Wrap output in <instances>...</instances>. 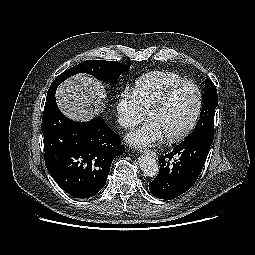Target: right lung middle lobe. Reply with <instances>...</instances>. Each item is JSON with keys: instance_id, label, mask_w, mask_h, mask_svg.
<instances>
[{"instance_id": "dd1d6c3e", "label": "right lung middle lobe", "mask_w": 255, "mask_h": 255, "mask_svg": "<svg viewBox=\"0 0 255 255\" xmlns=\"http://www.w3.org/2000/svg\"><path fill=\"white\" fill-rule=\"evenodd\" d=\"M128 69V66L116 61L87 60L71 67L56 77L49 90L56 89L65 79L78 73H87L102 81L114 84L119 76Z\"/></svg>"}]
</instances>
